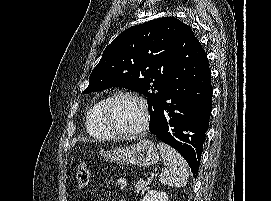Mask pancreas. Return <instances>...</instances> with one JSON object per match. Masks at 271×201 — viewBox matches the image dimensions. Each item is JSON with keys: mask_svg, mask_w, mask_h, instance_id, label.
<instances>
[{"mask_svg": "<svg viewBox=\"0 0 271 201\" xmlns=\"http://www.w3.org/2000/svg\"><path fill=\"white\" fill-rule=\"evenodd\" d=\"M148 182L144 181V180H138L137 183H135L133 186H135V192L139 193L141 192L143 189H145L148 186Z\"/></svg>", "mask_w": 271, "mask_h": 201, "instance_id": "cf45deb5", "label": "pancreas"}]
</instances>
